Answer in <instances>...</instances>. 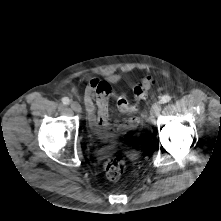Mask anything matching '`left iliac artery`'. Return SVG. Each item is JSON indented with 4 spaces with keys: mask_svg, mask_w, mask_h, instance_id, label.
Wrapping results in <instances>:
<instances>
[{
    "mask_svg": "<svg viewBox=\"0 0 221 221\" xmlns=\"http://www.w3.org/2000/svg\"><path fill=\"white\" fill-rule=\"evenodd\" d=\"M171 100V97L169 95H164L160 98V103L164 104Z\"/></svg>",
    "mask_w": 221,
    "mask_h": 221,
    "instance_id": "left-iliac-artery-1",
    "label": "left iliac artery"
}]
</instances>
